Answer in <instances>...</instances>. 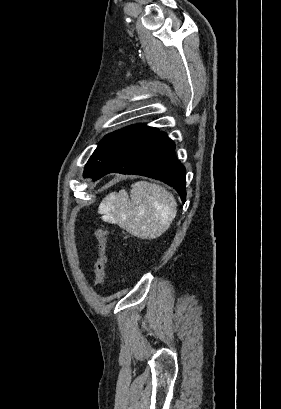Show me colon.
Listing matches in <instances>:
<instances>
[{"label":"colon","mask_w":281,"mask_h":409,"mask_svg":"<svg viewBox=\"0 0 281 409\" xmlns=\"http://www.w3.org/2000/svg\"><path fill=\"white\" fill-rule=\"evenodd\" d=\"M97 239L98 256L95 266V284L97 287H102L105 281L106 265H107V247H108V230L101 226L95 230Z\"/></svg>","instance_id":"1"}]
</instances>
